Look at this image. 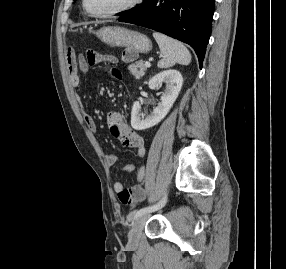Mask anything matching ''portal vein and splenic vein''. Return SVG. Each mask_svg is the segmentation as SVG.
Returning a JSON list of instances; mask_svg holds the SVG:
<instances>
[{
    "instance_id": "18ae733b",
    "label": "portal vein and splenic vein",
    "mask_w": 286,
    "mask_h": 269,
    "mask_svg": "<svg viewBox=\"0 0 286 269\" xmlns=\"http://www.w3.org/2000/svg\"><path fill=\"white\" fill-rule=\"evenodd\" d=\"M145 66L150 67L151 66L150 62L149 61L145 62Z\"/></svg>"
}]
</instances>
